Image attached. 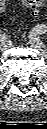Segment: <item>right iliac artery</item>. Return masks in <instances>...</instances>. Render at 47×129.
I'll list each match as a JSON object with an SVG mask.
<instances>
[{"label": "right iliac artery", "instance_id": "right-iliac-artery-1", "mask_svg": "<svg viewBox=\"0 0 47 129\" xmlns=\"http://www.w3.org/2000/svg\"><path fill=\"white\" fill-rule=\"evenodd\" d=\"M6 39H7V38H6V36H5L4 34H1V35H0V41H1V42H5Z\"/></svg>", "mask_w": 47, "mask_h": 129}]
</instances>
